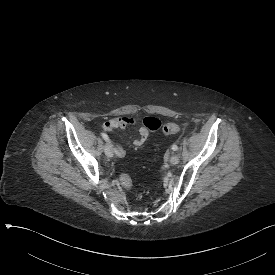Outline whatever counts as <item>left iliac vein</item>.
Returning <instances> with one entry per match:
<instances>
[{
    "mask_svg": "<svg viewBox=\"0 0 275 275\" xmlns=\"http://www.w3.org/2000/svg\"><path fill=\"white\" fill-rule=\"evenodd\" d=\"M170 163L172 165H177L179 163V157L177 154H173L170 158Z\"/></svg>",
    "mask_w": 275,
    "mask_h": 275,
    "instance_id": "1",
    "label": "left iliac vein"
}]
</instances>
